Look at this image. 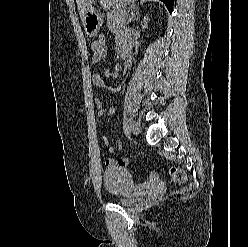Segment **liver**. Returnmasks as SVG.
I'll return each instance as SVG.
<instances>
[{"instance_id": "liver-1", "label": "liver", "mask_w": 248, "mask_h": 247, "mask_svg": "<svg viewBox=\"0 0 248 247\" xmlns=\"http://www.w3.org/2000/svg\"><path fill=\"white\" fill-rule=\"evenodd\" d=\"M95 0H76L77 7H78V12L80 17L82 18L84 11L86 7L90 4L93 3Z\"/></svg>"}]
</instances>
